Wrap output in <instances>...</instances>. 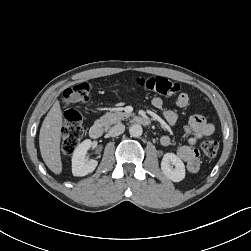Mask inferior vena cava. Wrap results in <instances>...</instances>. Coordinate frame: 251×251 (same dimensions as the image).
I'll return each instance as SVG.
<instances>
[{"label":"inferior vena cava","instance_id":"obj_1","mask_svg":"<svg viewBox=\"0 0 251 251\" xmlns=\"http://www.w3.org/2000/svg\"><path fill=\"white\" fill-rule=\"evenodd\" d=\"M125 130V126L122 123L116 124L108 131L109 136L114 137L122 134Z\"/></svg>","mask_w":251,"mask_h":251}]
</instances>
